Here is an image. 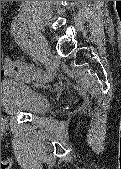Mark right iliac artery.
Returning <instances> with one entry per match:
<instances>
[{
    "label": "right iliac artery",
    "mask_w": 121,
    "mask_h": 169,
    "mask_svg": "<svg viewBox=\"0 0 121 169\" xmlns=\"http://www.w3.org/2000/svg\"><path fill=\"white\" fill-rule=\"evenodd\" d=\"M20 24V19L15 17L12 24V34L16 42L21 46V48H23L28 54L39 60L46 67L47 71L44 74H39L35 76L38 81L46 82V79L49 77V73L51 71L50 63L43 55H41L36 46V43L31 38V36L25 34V32L22 31Z\"/></svg>",
    "instance_id": "1"
}]
</instances>
